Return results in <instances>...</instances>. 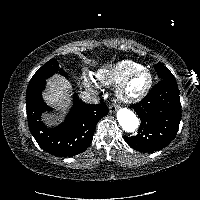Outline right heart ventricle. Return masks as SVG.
I'll list each match as a JSON object with an SVG mask.
<instances>
[{"label": "right heart ventricle", "instance_id": "obj_1", "mask_svg": "<svg viewBox=\"0 0 200 200\" xmlns=\"http://www.w3.org/2000/svg\"><path fill=\"white\" fill-rule=\"evenodd\" d=\"M144 68L133 60H121L114 64L102 67L95 74V80L102 86H116L121 83L132 72Z\"/></svg>", "mask_w": 200, "mask_h": 200}]
</instances>
